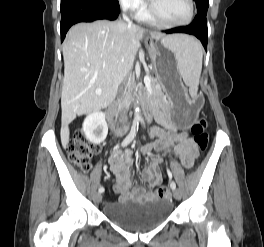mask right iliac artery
Masks as SVG:
<instances>
[{"mask_svg": "<svg viewBox=\"0 0 264 247\" xmlns=\"http://www.w3.org/2000/svg\"><path fill=\"white\" fill-rule=\"evenodd\" d=\"M138 127H139L138 121H134L130 133L127 135V137L123 140V142L121 144L122 147L127 146L134 139V137L138 131ZM103 192H104V188L100 187L99 193H103Z\"/></svg>", "mask_w": 264, "mask_h": 247, "instance_id": "82829eb1", "label": "right iliac artery"}]
</instances>
